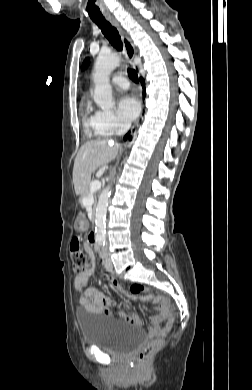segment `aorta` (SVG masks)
<instances>
[{
	"label": "aorta",
	"mask_w": 252,
	"mask_h": 390,
	"mask_svg": "<svg viewBox=\"0 0 252 390\" xmlns=\"http://www.w3.org/2000/svg\"><path fill=\"white\" fill-rule=\"evenodd\" d=\"M120 63V57L116 54L97 57L93 72L94 101L102 110L112 109L115 105L112 98V87L109 75ZM111 195V186L107 185L101 192L96 208L95 239L98 244H104L106 240V213L108 201Z\"/></svg>",
	"instance_id": "1"
}]
</instances>
